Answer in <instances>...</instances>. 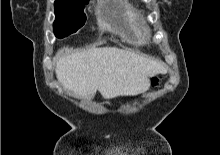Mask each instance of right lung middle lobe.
<instances>
[{
    "instance_id": "right-lung-middle-lobe-1",
    "label": "right lung middle lobe",
    "mask_w": 220,
    "mask_h": 155,
    "mask_svg": "<svg viewBox=\"0 0 220 155\" xmlns=\"http://www.w3.org/2000/svg\"><path fill=\"white\" fill-rule=\"evenodd\" d=\"M84 4H87V2L54 3L56 19L53 23V28L56 37H66L75 33L84 25L86 21V15L83 12Z\"/></svg>"
}]
</instances>
